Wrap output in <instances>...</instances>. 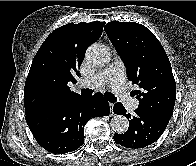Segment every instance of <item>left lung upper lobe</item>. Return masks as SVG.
<instances>
[{"label":"left lung upper lobe","instance_id":"5c2ea615","mask_svg":"<svg viewBox=\"0 0 196 166\" xmlns=\"http://www.w3.org/2000/svg\"><path fill=\"white\" fill-rule=\"evenodd\" d=\"M105 31L127 67L128 78L140 90L138 108L171 118L176 83L167 54L155 35L135 22L112 21Z\"/></svg>","mask_w":196,"mask_h":166}]
</instances>
